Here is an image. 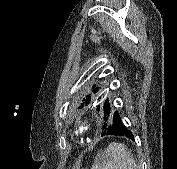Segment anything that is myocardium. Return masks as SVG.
Masks as SVG:
<instances>
[{
	"label": "myocardium",
	"mask_w": 177,
	"mask_h": 169,
	"mask_svg": "<svg viewBox=\"0 0 177 169\" xmlns=\"http://www.w3.org/2000/svg\"><path fill=\"white\" fill-rule=\"evenodd\" d=\"M83 124L88 127L89 126V122L88 121H84Z\"/></svg>",
	"instance_id": "f54148a6"
}]
</instances>
